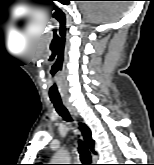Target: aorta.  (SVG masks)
Here are the masks:
<instances>
[{
    "mask_svg": "<svg viewBox=\"0 0 154 165\" xmlns=\"http://www.w3.org/2000/svg\"><path fill=\"white\" fill-rule=\"evenodd\" d=\"M71 157L68 151L59 150L52 159V164H70Z\"/></svg>",
    "mask_w": 154,
    "mask_h": 165,
    "instance_id": "obj_1",
    "label": "aorta"
}]
</instances>
